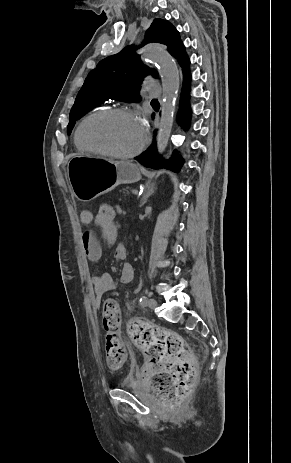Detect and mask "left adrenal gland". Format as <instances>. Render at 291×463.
<instances>
[{
	"mask_svg": "<svg viewBox=\"0 0 291 463\" xmlns=\"http://www.w3.org/2000/svg\"><path fill=\"white\" fill-rule=\"evenodd\" d=\"M155 189L156 188L154 184L146 186V189L142 195L140 207H142L146 203L147 199L149 198V196H151L154 193Z\"/></svg>",
	"mask_w": 291,
	"mask_h": 463,
	"instance_id": "obj_1",
	"label": "left adrenal gland"
}]
</instances>
